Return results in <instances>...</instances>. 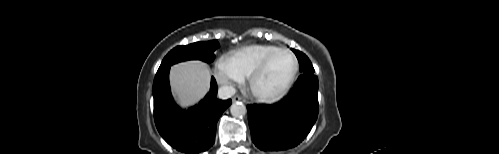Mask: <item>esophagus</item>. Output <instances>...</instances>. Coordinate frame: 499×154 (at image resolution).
I'll return each instance as SVG.
<instances>
[{
	"mask_svg": "<svg viewBox=\"0 0 499 154\" xmlns=\"http://www.w3.org/2000/svg\"><path fill=\"white\" fill-rule=\"evenodd\" d=\"M232 100H233L234 102H238V101H242L243 99H242V97H241L240 95H235V96L232 98Z\"/></svg>",
	"mask_w": 499,
	"mask_h": 154,
	"instance_id": "1",
	"label": "esophagus"
}]
</instances>
